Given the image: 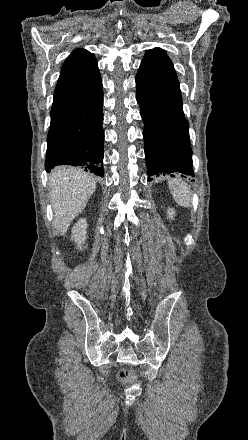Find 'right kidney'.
Instances as JSON below:
<instances>
[{
  "label": "right kidney",
  "instance_id": "obj_1",
  "mask_svg": "<svg viewBox=\"0 0 248 440\" xmlns=\"http://www.w3.org/2000/svg\"><path fill=\"white\" fill-rule=\"evenodd\" d=\"M87 221L85 218L80 219L72 228L71 239L77 244L78 249H82V244L85 243L87 234Z\"/></svg>",
  "mask_w": 248,
  "mask_h": 440
}]
</instances>
